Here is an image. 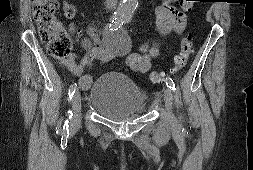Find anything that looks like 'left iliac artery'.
Here are the masks:
<instances>
[{
	"label": "left iliac artery",
	"mask_w": 253,
	"mask_h": 170,
	"mask_svg": "<svg viewBox=\"0 0 253 170\" xmlns=\"http://www.w3.org/2000/svg\"><path fill=\"white\" fill-rule=\"evenodd\" d=\"M132 19V14H128L126 15L124 18H123V23H129ZM166 85L167 87H169L172 91H175L176 90V87H175V83L173 82V80L171 78H167L166 79ZM185 132V129L183 128L182 132Z\"/></svg>",
	"instance_id": "left-iliac-artery-1"
}]
</instances>
